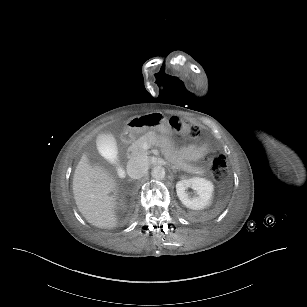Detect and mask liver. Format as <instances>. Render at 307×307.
Instances as JSON below:
<instances>
[{
  "label": "liver",
  "mask_w": 307,
  "mask_h": 307,
  "mask_svg": "<svg viewBox=\"0 0 307 307\" xmlns=\"http://www.w3.org/2000/svg\"><path fill=\"white\" fill-rule=\"evenodd\" d=\"M117 194L114 176L104 166L91 165L88 156L84 154L74 172L73 195L86 221L98 228L117 227Z\"/></svg>",
  "instance_id": "1"
}]
</instances>
